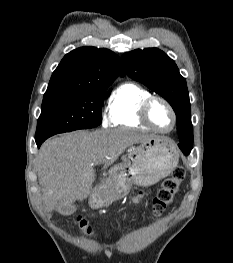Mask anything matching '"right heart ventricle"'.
Here are the masks:
<instances>
[{
	"label": "right heart ventricle",
	"mask_w": 233,
	"mask_h": 263,
	"mask_svg": "<svg viewBox=\"0 0 233 263\" xmlns=\"http://www.w3.org/2000/svg\"><path fill=\"white\" fill-rule=\"evenodd\" d=\"M150 96L147 89L136 83L120 85L108 103L109 124L112 127L148 129L140 120L139 110L142 102Z\"/></svg>",
	"instance_id": "right-heart-ventricle-1"
}]
</instances>
